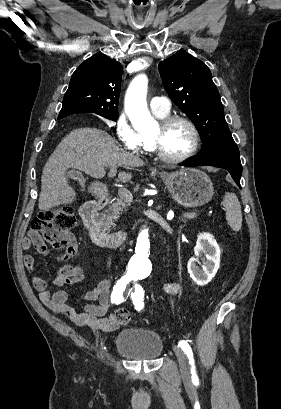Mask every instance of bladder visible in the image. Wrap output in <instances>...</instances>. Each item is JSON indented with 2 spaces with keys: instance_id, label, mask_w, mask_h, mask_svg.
Masks as SVG:
<instances>
[{
  "instance_id": "obj_1",
  "label": "bladder",
  "mask_w": 281,
  "mask_h": 409,
  "mask_svg": "<svg viewBox=\"0 0 281 409\" xmlns=\"http://www.w3.org/2000/svg\"><path fill=\"white\" fill-rule=\"evenodd\" d=\"M114 351L136 362L156 361L164 352V339L154 329H121L113 339Z\"/></svg>"
}]
</instances>
